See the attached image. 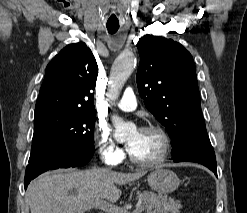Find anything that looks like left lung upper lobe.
<instances>
[{
  "label": "left lung upper lobe",
  "instance_id": "1",
  "mask_svg": "<svg viewBox=\"0 0 247 213\" xmlns=\"http://www.w3.org/2000/svg\"><path fill=\"white\" fill-rule=\"evenodd\" d=\"M137 48L141 58L136 76L139 94L165 126L174 153L191 134L207 132L192 55L176 41L148 34Z\"/></svg>",
  "mask_w": 247,
  "mask_h": 213
}]
</instances>
